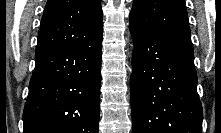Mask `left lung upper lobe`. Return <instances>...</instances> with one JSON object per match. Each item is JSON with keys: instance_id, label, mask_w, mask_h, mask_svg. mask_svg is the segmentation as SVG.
Instances as JSON below:
<instances>
[{"instance_id": "left-lung-upper-lobe-1", "label": "left lung upper lobe", "mask_w": 221, "mask_h": 133, "mask_svg": "<svg viewBox=\"0 0 221 133\" xmlns=\"http://www.w3.org/2000/svg\"><path fill=\"white\" fill-rule=\"evenodd\" d=\"M130 25L142 30L191 37L184 0H134Z\"/></svg>"}]
</instances>
